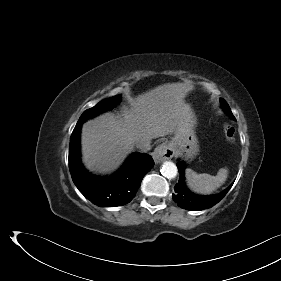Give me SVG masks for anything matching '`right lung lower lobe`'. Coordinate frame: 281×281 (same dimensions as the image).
<instances>
[{"label":"right lung lower lobe","mask_w":281,"mask_h":281,"mask_svg":"<svg viewBox=\"0 0 281 281\" xmlns=\"http://www.w3.org/2000/svg\"><path fill=\"white\" fill-rule=\"evenodd\" d=\"M77 123L69 148V170L78 190L93 204L116 207L129 203L136 195L145 174L154 165L147 154L134 153L112 177L94 176L84 169L80 160V131Z\"/></svg>","instance_id":"obj_1"}]
</instances>
